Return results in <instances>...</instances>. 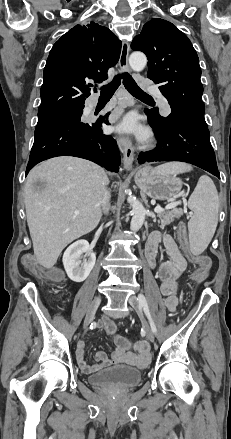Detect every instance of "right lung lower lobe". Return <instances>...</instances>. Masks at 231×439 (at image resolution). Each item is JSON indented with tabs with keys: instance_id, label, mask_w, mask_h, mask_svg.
Instances as JSON below:
<instances>
[{
	"instance_id": "right-lung-lower-lobe-1",
	"label": "right lung lower lobe",
	"mask_w": 231,
	"mask_h": 439,
	"mask_svg": "<svg viewBox=\"0 0 231 439\" xmlns=\"http://www.w3.org/2000/svg\"><path fill=\"white\" fill-rule=\"evenodd\" d=\"M107 113L95 123L78 120L57 121L35 129L26 175L37 163L57 156H75L88 159L118 172L120 157L116 141L102 133V123L109 124Z\"/></svg>"
}]
</instances>
